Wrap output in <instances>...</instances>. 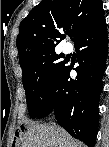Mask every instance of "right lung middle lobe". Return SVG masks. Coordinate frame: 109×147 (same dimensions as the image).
<instances>
[{
	"instance_id": "dd1d6c3e",
	"label": "right lung middle lobe",
	"mask_w": 109,
	"mask_h": 147,
	"mask_svg": "<svg viewBox=\"0 0 109 147\" xmlns=\"http://www.w3.org/2000/svg\"><path fill=\"white\" fill-rule=\"evenodd\" d=\"M59 58L61 55L53 51L22 67V81L31 118L38 116L52 86L65 67V62H59Z\"/></svg>"
}]
</instances>
